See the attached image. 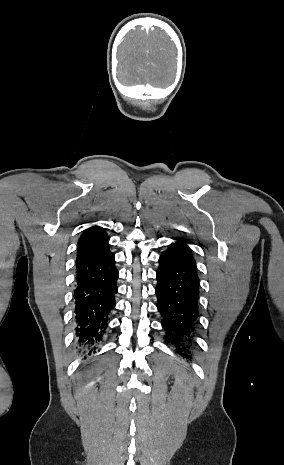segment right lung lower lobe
<instances>
[{
	"mask_svg": "<svg viewBox=\"0 0 284 465\" xmlns=\"http://www.w3.org/2000/svg\"><path fill=\"white\" fill-rule=\"evenodd\" d=\"M108 241L109 237L76 259L75 330L80 345L90 351L106 333L118 291V270Z\"/></svg>",
	"mask_w": 284,
	"mask_h": 465,
	"instance_id": "1",
	"label": "right lung lower lobe"
}]
</instances>
